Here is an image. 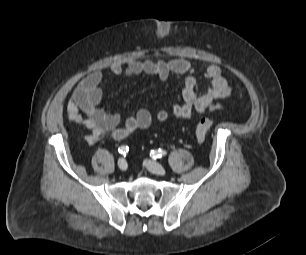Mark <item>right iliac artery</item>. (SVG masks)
<instances>
[{"label":"right iliac artery","instance_id":"1","mask_svg":"<svg viewBox=\"0 0 306 255\" xmlns=\"http://www.w3.org/2000/svg\"><path fill=\"white\" fill-rule=\"evenodd\" d=\"M128 150H129L128 146L125 145H122L118 148V152L123 155H125L128 152Z\"/></svg>","mask_w":306,"mask_h":255}]
</instances>
